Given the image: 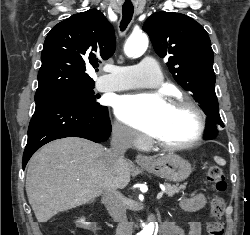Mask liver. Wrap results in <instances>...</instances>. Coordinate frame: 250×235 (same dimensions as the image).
<instances>
[{
  "label": "liver",
  "instance_id": "liver-1",
  "mask_svg": "<svg viewBox=\"0 0 250 235\" xmlns=\"http://www.w3.org/2000/svg\"><path fill=\"white\" fill-rule=\"evenodd\" d=\"M103 146L68 137L53 141L33 155L28 164L26 192L38 222L93 201L130 181V164L123 160L113 170L103 160Z\"/></svg>",
  "mask_w": 250,
  "mask_h": 235
}]
</instances>
